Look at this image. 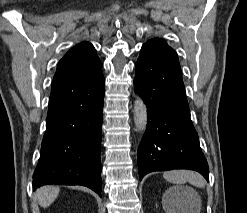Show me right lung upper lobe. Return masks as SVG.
I'll return each instance as SVG.
<instances>
[{
    "label": "right lung upper lobe",
    "mask_w": 247,
    "mask_h": 213,
    "mask_svg": "<svg viewBox=\"0 0 247 213\" xmlns=\"http://www.w3.org/2000/svg\"><path fill=\"white\" fill-rule=\"evenodd\" d=\"M100 68L102 63L93 45L89 42H81L59 61L52 85L89 74Z\"/></svg>",
    "instance_id": "cb5924a9"
}]
</instances>
